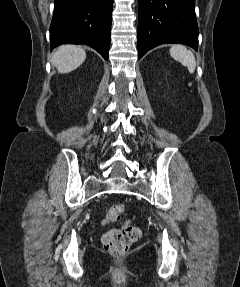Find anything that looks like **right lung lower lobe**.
Returning a JSON list of instances; mask_svg holds the SVG:
<instances>
[{
	"label": "right lung lower lobe",
	"instance_id": "right-lung-lower-lobe-1",
	"mask_svg": "<svg viewBox=\"0 0 240 287\" xmlns=\"http://www.w3.org/2000/svg\"><path fill=\"white\" fill-rule=\"evenodd\" d=\"M113 0H55L50 25L51 50L61 44H86L108 59Z\"/></svg>",
	"mask_w": 240,
	"mask_h": 287
}]
</instances>
